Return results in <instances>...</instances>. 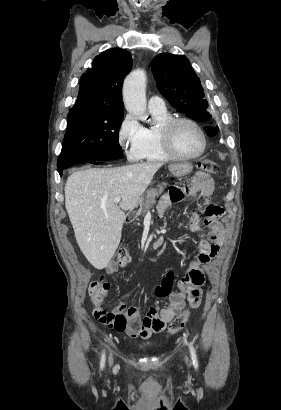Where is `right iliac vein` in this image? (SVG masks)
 <instances>
[{"mask_svg":"<svg viewBox=\"0 0 281 410\" xmlns=\"http://www.w3.org/2000/svg\"><path fill=\"white\" fill-rule=\"evenodd\" d=\"M109 363H110V365H112V363H113V358H112V356L109 357Z\"/></svg>","mask_w":281,"mask_h":410,"instance_id":"right-iliac-vein-1","label":"right iliac vein"}]
</instances>
